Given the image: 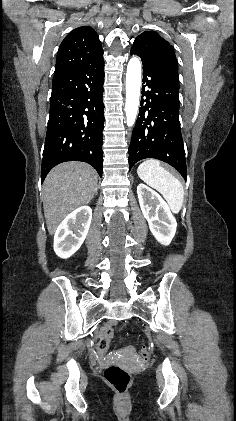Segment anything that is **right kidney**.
I'll use <instances>...</instances> for the list:
<instances>
[{"label": "right kidney", "instance_id": "1", "mask_svg": "<svg viewBox=\"0 0 236 421\" xmlns=\"http://www.w3.org/2000/svg\"><path fill=\"white\" fill-rule=\"evenodd\" d=\"M92 221V208L79 206L60 223L54 235V251L61 259H68L84 243Z\"/></svg>", "mask_w": 236, "mask_h": 421}]
</instances>
